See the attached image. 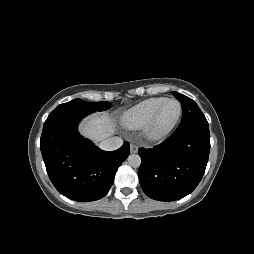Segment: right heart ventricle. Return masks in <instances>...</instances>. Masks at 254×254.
<instances>
[{"label":"right heart ventricle","instance_id":"right-heart-ventricle-1","mask_svg":"<svg viewBox=\"0 0 254 254\" xmlns=\"http://www.w3.org/2000/svg\"><path fill=\"white\" fill-rule=\"evenodd\" d=\"M164 99V97L148 98L129 108L122 115L123 125L129 129L143 128Z\"/></svg>","mask_w":254,"mask_h":254}]
</instances>
